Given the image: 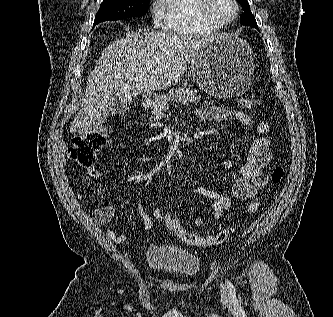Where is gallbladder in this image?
I'll list each match as a JSON object with an SVG mask.
<instances>
[{
  "label": "gallbladder",
  "instance_id": "gallbladder-1",
  "mask_svg": "<svg viewBox=\"0 0 333 317\" xmlns=\"http://www.w3.org/2000/svg\"><path fill=\"white\" fill-rule=\"evenodd\" d=\"M131 104H132L131 98H127L124 96H115L109 99L106 108L110 114L116 115L126 112Z\"/></svg>",
  "mask_w": 333,
  "mask_h": 317
}]
</instances>
